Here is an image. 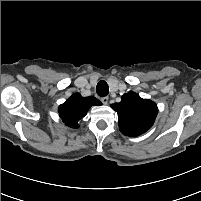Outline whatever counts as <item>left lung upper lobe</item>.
Returning <instances> with one entry per match:
<instances>
[{
  "mask_svg": "<svg viewBox=\"0 0 201 201\" xmlns=\"http://www.w3.org/2000/svg\"><path fill=\"white\" fill-rule=\"evenodd\" d=\"M111 107L118 113L120 131L131 137L150 129L158 114L157 105L153 101L142 99L135 92L122 95L121 102L112 104Z\"/></svg>",
  "mask_w": 201,
  "mask_h": 201,
  "instance_id": "left-lung-upper-lobe-1",
  "label": "left lung upper lobe"
}]
</instances>
